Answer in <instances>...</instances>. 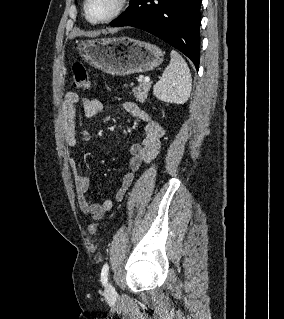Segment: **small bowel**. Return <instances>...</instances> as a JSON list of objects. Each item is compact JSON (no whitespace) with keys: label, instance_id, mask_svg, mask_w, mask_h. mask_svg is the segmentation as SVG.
Returning a JSON list of instances; mask_svg holds the SVG:
<instances>
[{"label":"small bowel","instance_id":"obj_1","mask_svg":"<svg viewBox=\"0 0 284 319\" xmlns=\"http://www.w3.org/2000/svg\"><path fill=\"white\" fill-rule=\"evenodd\" d=\"M80 103L77 93L69 91L65 94L61 106V126L65 142L68 146L77 145V134L75 129L76 110ZM84 114L92 117L103 110V104L97 99L84 98L81 102ZM123 108L134 118L144 122V137L140 143L131 144L128 147L127 171L123 175L122 183L115 194V199L121 201L137 171L142 165L151 162L159 153L161 139L164 136L163 127L144 110L134 103H124ZM71 170L73 173L75 190L80 210L91 216L94 220L102 219L106 213L113 209V201L106 199L102 203L93 202L87 193L90 189V178L79 173L76 162L72 161Z\"/></svg>","mask_w":284,"mask_h":319}]
</instances>
